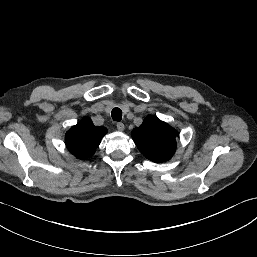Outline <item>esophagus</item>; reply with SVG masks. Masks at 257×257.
Returning a JSON list of instances; mask_svg holds the SVG:
<instances>
[{
  "mask_svg": "<svg viewBox=\"0 0 257 257\" xmlns=\"http://www.w3.org/2000/svg\"><path fill=\"white\" fill-rule=\"evenodd\" d=\"M116 126L119 131H124L125 129V126L122 122H118Z\"/></svg>",
  "mask_w": 257,
  "mask_h": 257,
  "instance_id": "1",
  "label": "esophagus"
}]
</instances>
